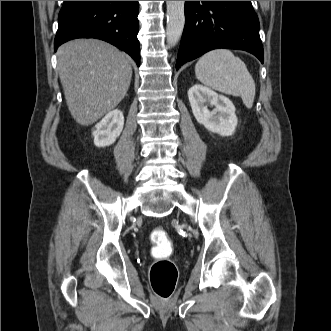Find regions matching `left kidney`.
Returning a JSON list of instances; mask_svg holds the SVG:
<instances>
[{
	"instance_id": "left-kidney-1",
	"label": "left kidney",
	"mask_w": 331,
	"mask_h": 331,
	"mask_svg": "<svg viewBox=\"0 0 331 331\" xmlns=\"http://www.w3.org/2000/svg\"><path fill=\"white\" fill-rule=\"evenodd\" d=\"M188 98L194 117L207 130L221 136H231L234 133L238 119L235 106L227 97L195 84L189 89ZM213 106L214 109L210 111L208 107Z\"/></svg>"
}]
</instances>
